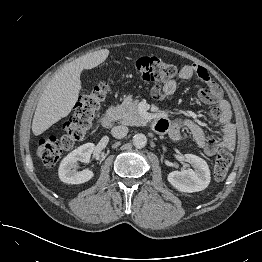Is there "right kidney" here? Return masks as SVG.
<instances>
[{"mask_svg":"<svg viewBox=\"0 0 262 262\" xmlns=\"http://www.w3.org/2000/svg\"><path fill=\"white\" fill-rule=\"evenodd\" d=\"M95 148L93 143H86L69 153L60 163L58 174L61 181L68 184H81L89 181L94 173L85 169L77 171L79 162H89Z\"/></svg>","mask_w":262,"mask_h":262,"instance_id":"obj_1","label":"right kidney"}]
</instances>
